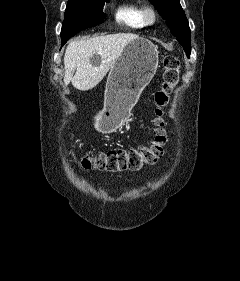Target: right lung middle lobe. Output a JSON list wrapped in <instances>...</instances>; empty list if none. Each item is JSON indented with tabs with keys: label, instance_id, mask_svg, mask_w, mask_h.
<instances>
[{
	"label": "right lung middle lobe",
	"instance_id": "1",
	"mask_svg": "<svg viewBox=\"0 0 240 281\" xmlns=\"http://www.w3.org/2000/svg\"><path fill=\"white\" fill-rule=\"evenodd\" d=\"M108 1L68 0L61 29L62 45L79 31L102 23L104 20L103 6Z\"/></svg>",
	"mask_w": 240,
	"mask_h": 281
}]
</instances>
